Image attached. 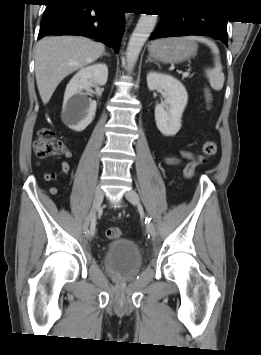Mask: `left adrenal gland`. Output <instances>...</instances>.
Returning a JSON list of instances; mask_svg holds the SVG:
<instances>
[{
    "label": "left adrenal gland",
    "instance_id": "1",
    "mask_svg": "<svg viewBox=\"0 0 261 355\" xmlns=\"http://www.w3.org/2000/svg\"><path fill=\"white\" fill-rule=\"evenodd\" d=\"M148 62H154L152 59H151V57L149 56L148 58H147V60H146V63H148ZM156 63V62H155Z\"/></svg>",
    "mask_w": 261,
    "mask_h": 355
}]
</instances>
